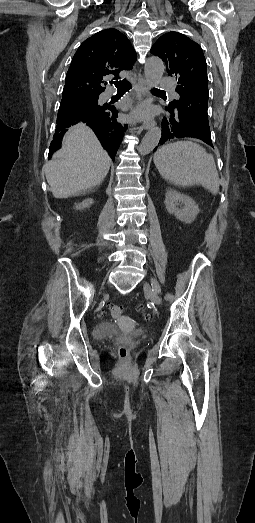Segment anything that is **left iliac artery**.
<instances>
[{
	"instance_id": "44dca946",
	"label": "left iliac artery",
	"mask_w": 255,
	"mask_h": 523,
	"mask_svg": "<svg viewBox=\"0 0 255 523\" xmlns=\"http://www.w3.org/2000/svg\"><path fill=\"white\" fill-rule=\"evenodd\" d=\"M152 287H153L154 291H156L157 293H161V288L155 287L153 285H152Z\"/></svg>"
}]
</instances>
